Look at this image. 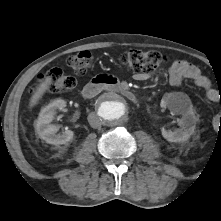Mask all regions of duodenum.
I'll list each match as a JSON object with an SVG mask.
<instances>
[{"mask_svg": "<svg viewBox=\"0 0 221 221\" xmlns=\"http://www.w3.org/2000/svg\"><path fill=\"white\" fill-rule=\"evenodd\" d=\"M103 89H108L109 91L119 94L133 102L137 100L133 91L121 86L115 78L110 76L94 77L84 86L83 96L87 99H92Z\"/></svg>", "mask_w": 221, "mask_h": 221, "instance_id": "obj_1", "label": "duodenum"}]
</instances>
